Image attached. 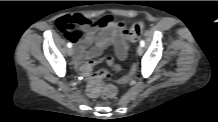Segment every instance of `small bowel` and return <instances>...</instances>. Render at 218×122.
Listing matches in <instances>:
<instances>
[{"label":"small bowel","mask_w":218,"mask_h":122,"mask_svg":"<svg viewBox=\"0 0 218 122\" xmlns=\"http://www.w3.org/2000/svg\"><path fill=\"white\" fill-rule=\"evenodd\" d=\"M75 28L83 31V38L72 39L76 44V62L74 72L98 53H103L106 48L113 46L118 59L124 60L128 54V31L123 22H118L114 17L104 16L92 21L83 15L76 14L68 17Z\"/></svg>","instance_id":"c3829d8e"}]
</instances>
